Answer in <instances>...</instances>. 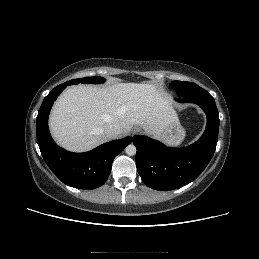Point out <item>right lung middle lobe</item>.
<instances>
[{"instance_id":"dd1d6c3e","label":"right lung middle lobe","mask_w":259,"mask_h":259,"mask_svg":"<svg viewBox=\"0 0 259 259\" xmlns=\"http://www.w3.org/2000/svg\"><path fill=\"white\" fill-rule=\"evenodd\" d=\"M105 81L104 78L102 77H86V78H79V79H72L70 81L65 82L68 85L72 84H78V83H83V84H98V83H103Z\"/></svg>"}]
</instances>
